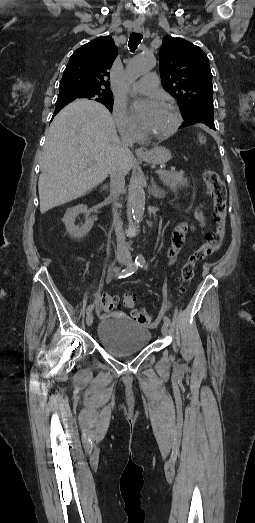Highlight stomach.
Here are the masks:
<instances>
[{
    "label": "stomach",
    "mask_w": 255,
    "mask_h": 523,
    "mask_svg": "<svg viewBox=\"0 0 255 523\" xmlns=\"http://www.w3.org/2000/svg\"><path fill=\"white\" fill-rule=\"evenodd\" d=\"M140 160H144V162H148V164H154V166H158V164H165V162H168L170 160V152L169 150H166V148H161V146H155V148H152V150H143L142 154L138 156Z\"/></svg>",
    "instance_id": "obj_1"
}]
</instances>
